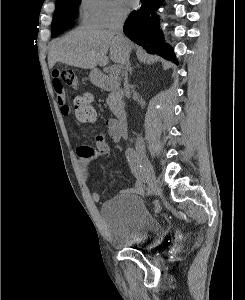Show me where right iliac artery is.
Returning <instances> with one entry per match:
<instances>
[{
	"instance_id": "1",
	"label": "right iliac artery",
	"mask_w": 245,
	"mask_h": 300,
	"mask_svg": "<svg viewBox=\"0 0 245 300\" xmlns=\"http://www.w3.org/2000/svg\"><path fill=\"white\" fill-rule=\"evenodd\" d=\"M126 158L128 160L129 166L137 179L146 183L148 185L147 196L151 197L153 194H156V187L153 186L150 177H146L145 171L142 165L139 162L138 156L134 149L128 148L125 152Z\"/></svg>"
}]
</instances>
